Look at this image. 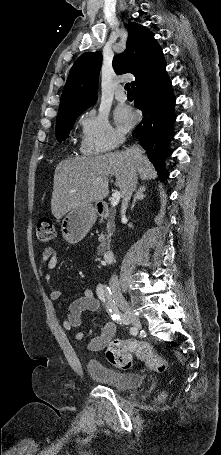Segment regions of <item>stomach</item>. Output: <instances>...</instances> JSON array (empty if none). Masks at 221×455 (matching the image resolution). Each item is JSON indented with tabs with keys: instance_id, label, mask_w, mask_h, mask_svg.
Listing matches in <instances>:
<instances>
[{
	"instance_id": "0dacf381",
	"label": "stomach",
	"mask_w": 221,
	"mask_h": 455,
	"mask_svg": "<svg viewBox=\"0 0 221 455\" xmlns=\"http://www.w3.org/2000/svg\"><path fill=\"white\" fill-rule=\"evenodd\" d=\"M96 218V208L92 204L71 209L61 223L63 238L70 244L79 243L89 232Z\"/></svg>"
}]
</instances>
